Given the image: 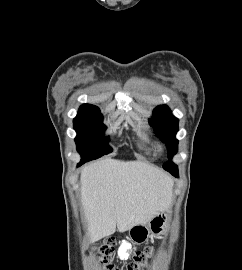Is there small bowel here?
<instances>
[{"instance_id": "obj_1", "label": "small bowel", "mask_w": 242, "mask_h": 270, "mask_svg": "<svg viewBox=\"0 0 242 270\" xmlns=\"http://www.w3.org/2000/svg\"><path fill=\"white\" fill-rule=\"evenodd\" d=\"M118 255L121 259L127 258V243H125V242L121 243V245L119 247Z\"/></svg>"}]
</instances>
